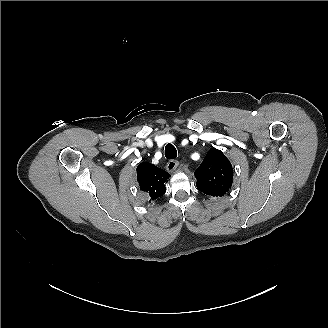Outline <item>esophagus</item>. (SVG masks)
I'll return each instance as SVG.
<instances>
[{
	"label": "esophagus",
	"mask_w": 328,
	"mask_h": 328,
	"mask_svg": "<svg viewBox=\"0 0 328 328\" xmlns=\"http://www.w3.org/2000/svg\"><path fill=\"white\" fill-rule=\"evenodd\" d=\"M178 166L179 162L176 159H171L170 161H168L166 169L168 172H173L177 169Z\"/></svg>",
	"instance_id": "34e87169"
}]
</instances>
